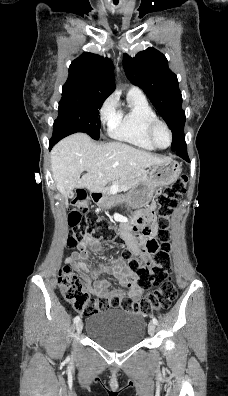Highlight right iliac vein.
I'll return each mask as SVG.
<instances>
[{
	"mask_svg": "<svg viewBox=\"0 0 228 396\" xmlns=\"http://www.w3.org/2000/svg\"><path fill=\"white\" fill-rule=\"evenodd\" d=\"M82 328H83V323H82V321H79V322L76 324V332H77V334H80V333H81Z\"/></svg>",
	"mask_w": 228,
	"mask_h": 396,
	"instance_id": "obj_1",
	"label": "right iliac vein"
}]
</instances>
